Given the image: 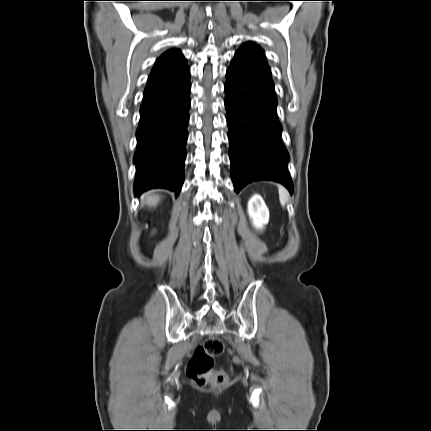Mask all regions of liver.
I'll list each match as a JSON object with an SVG mask.
<instances>
[{
	"label": "liver",
	"mask_w": 431,
	"mask_h": 431,
	"mask_svg": "<svg viewBox=\"0 0 431 431\" xmlns=\"http://www.w3.org/2000/svg\"><path fill=\"white\" fill-rule=\"evenodd\" d=\"M144 202L149 207H156L158 205V203L160 202V196L154 195L151 193H147L144 196Z\"/></svg>",
	"instance_id": "obj_1"
}]
</instances>
